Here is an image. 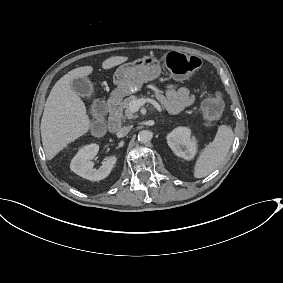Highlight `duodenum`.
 I'll list each match as a JSON object with an SVG mask.
<instances>
[{"label":"duodenum","mask_w":283,"mask_h":283,"mask_svg":"<svg viewBox=\"0 0 283 283\" xmlns=\"http://www.w3.org/2000/svg\"><path fill=\"white\" fill-rule=\"evenodd\" d=\"M109 110L108 128L111 132H117L121 128V99L113 96L108 102Z\"/></svg>","instance_id":"410a0bca"}]
</instances>
